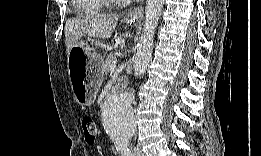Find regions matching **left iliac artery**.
<instances>
[{"label": "left iliac artery", "instance_id": "44dca946", "mask_svg": "<svg viewBox=\"0 0 261 156\" xmlns=\"http://www.w3.org/2000/svg\"><path fill=\"white\" fill-rule=\"evenodd\" d=\"M129 141H130L129 137L124 138V139L115 140L116 148L122 156H132L133 155L129 149Z\"/></svg>", "mask_w": 261, "mask_h": 156}]
</instances>
